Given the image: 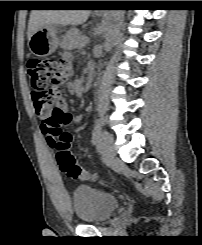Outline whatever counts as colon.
Wrapping results in <instances>:
<instances>
[{
    "label": "colon",
    "instance_id": "1",
    "mask_svg": "<svg viewBox=\"0 0 202 245\" xmlns=\"http://www.w3.org/2000/svg\"><path fill=\"white\" fill-rule=\"evenodd\" d=\"M27 71L30 85L35 91V108L38 110L43 106L47 114L44 126L51 138L58 167L72 179L95 180L96 176L80 165L71 151L73 138L64 129L71 122V115L53 109L69 70L60 60L33 58L28 62Z\"/></svg>",
    "mask_w": 202,
    "mask_h": 245
}]
</instances>
